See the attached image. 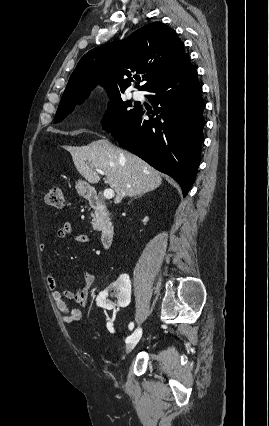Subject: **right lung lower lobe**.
Masks as SVG:
<instances>
[{"label": "right lung lower lobe", "mask_w": 269, "mask_h": 426, "mask_svg": "<svg viewBox=\"0 0 269 426\" xmlns=\"http://www.w3.org/2000/svg\"><path fill=\"white\" fill-rule=\"evenodd\" d=\"M146 91L152 93L147 98L156 106L154 111L146 113L142 107H136L111 131L112 135L122 147L173 177L185 197L200 164L205 124V103L197 71L190 66Z\"/></svg>", "instance_id": "obj_1"}]
</instances>
